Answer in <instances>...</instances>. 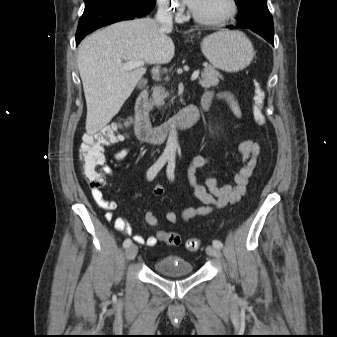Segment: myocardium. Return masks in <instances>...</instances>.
Listing matches in <instances>:
<instances>
[{"mask_svg": "<svg viewBox=\"0 0 337 337\" xmlns=\"http://www.w3.org/2000/svg\"><path fill=\"white\" fill-rule=\"evenodd\" d=\"M228 10L219 18H209L198 15L193 8L190 10L192 18L200 24L208 26H222L232 20L238 13L239 5L237 0H227Z\"/></svg>", "mask_w": 337, "mask_h": 337, "instance_id": "1", "label": "myocardium"}]
</instances>
